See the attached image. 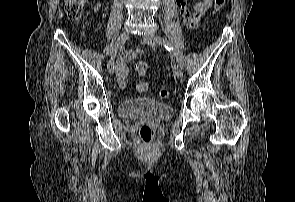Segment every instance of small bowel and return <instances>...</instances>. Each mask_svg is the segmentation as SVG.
Wrapping results in <instances>:
<instances>
[{
	"label": "small bowel",
	"mask_w": 295,
	"mask_h": 202,
	"mask_svg": "<svg viewBox=\"0 0 295 202\" xmlns=\"http://www.w3.org/2000/svg\"><path fill=\"white\" fill-rule=\"evenodd\" d=\"M213 0H200L193 5L192 10L187 7V0H176L180 9L182 19L187 26L195 27L201 17L212 6ZM102 0H98L94 5V10L99 11ZM137 52H130L126 57L117 63V81L121 87L126 86V76L128 74L127 62L136 57Z\"/></svg>",
	"instance_id": "obj_1"
}]
</instances>
